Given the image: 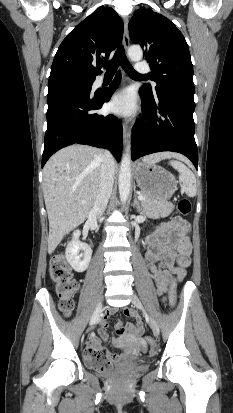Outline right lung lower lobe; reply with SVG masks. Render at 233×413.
Instances as JSON below:
<instances>
[{
    "label": "right lung lower lobe",
    "mask_w": 233,
    "mask_h": 413,
    "mask_svg": "<svg viewBox=\"0 0 233 413\" xmlns=\"http://www.w3.org/2000/svg\"><path fill=\"white\" fill-rule=\"evenodd\" d=\"M95 78H92L94 81ZM120 81V72L109 88L93 95L91 89L75 83L49 86L47 102V131L42 156V167L59 149L74 143L108 148L117 161L122 153V124L113 115H98L109 101L114 87Z\"/></svg>",
    "instance_id": "1"
}]
</instances>
